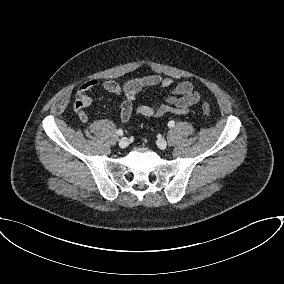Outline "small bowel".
Wrapping results in <instances>:
<instances>
[{
  "mask_svg": "<svg viewBox=\"0 0 284 284\" xmlns=\"http://www.w3.org/2000/svg\"><path fill=\"white\" fill-rule=\"evenodd\" d=\"M95 88H102L121 98L119 115L121 123L128 122L132 116L160 118L167 114L185 115L201 98L200 93L194 89L190 81H183L174 85L172 78H164L159 75L133 78L124 83H118L113 80L103 82L90 80L78 88L73 104V110L77 113L82 123H86L89 119L86 111L92 103L89 92ZM155 88L168 90L164 103L153 101L150 105H140L134 108L133 102L139 92L147 94L148 91ZM148 97L150 98V96Z\"/></svg>",
  "mask_w": 284,
  "mask_h": 284,
  "instance_id": "obj_1",
  "label": "small bowel"
}]
</instances>
